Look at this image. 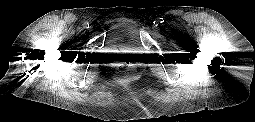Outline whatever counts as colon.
<instances>
[{
  "label": "colon",
  "instance_id": "1",
  "mask_svg": "<svg viewBox=\"0 0 255 122\" xmlns=\"http://www.w3.org/2000/svg\"><path fill=\"white\" fill-rule=\"evenodd\" d=\"M118 72L120 76L124 79H132L135 76V69L129 63H124L120 65Z\"/></svg>",
  "mask_w": 255,
  "mask_h": 122
}]
</instances>
